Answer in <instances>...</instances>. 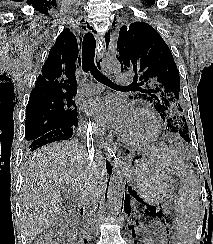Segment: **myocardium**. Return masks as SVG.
Listing matches in <instances>:
<instances>
[{"mask_svg": "<svg viewBox=\"0 0 213 244\" xmlns=\"http://www.w3.org/2000/svg\"><path fill=\"white\" fill-rule=\"evenodd\" d=\"M133 114L143 115L150 121L152 126L151 133L148 136L141 139H130L123 136L122 133H119V140L124 144L130 146H145L156 141L160 135V122L156 114L147 107H138L134 109Z\"/></svg>", "mask_w": 213, "mask_h": 244, "instance_id": "f54148a6", "label": "myocardium"}]
</instances>
